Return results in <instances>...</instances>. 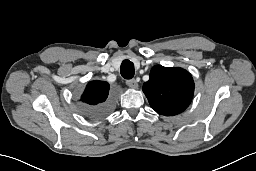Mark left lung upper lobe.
<instances>
[{
	"label": "left lung upper lobe",
	"mask_w": 256,
	"mask_h": 171,
	"mask_svg": "<svg viewBox=\"0 0 256 171\" xmlns=\"http://www.w3.org/2000/svg\"><path fill=\"white\" fill-rule=\"evenodd\" d=\"M150 106L158 114L173 116L183 112L194 93V81L182 68L154 66L150 79L143 84Z\"/></svg>",
	"instance_id": "1"
}]
</instances>
